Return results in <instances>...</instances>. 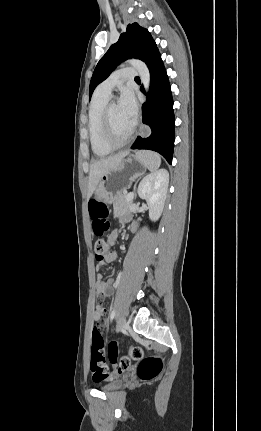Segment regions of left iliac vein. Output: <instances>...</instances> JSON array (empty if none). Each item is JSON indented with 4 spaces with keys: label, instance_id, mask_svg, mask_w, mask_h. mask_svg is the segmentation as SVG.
<instances>
[{
    "label": "left iliac vein",
    "instance_id": "obj_1",
    "mask_svg": "<svg viewBox=\"0 0 261 431\" xmlns=\"http://www.w3.org/2000/svg\"><path fill=\"white\" fill-rule=\"evenodd\" d=\"M125 325H126V317L122 315L117 322V331H120L121 329H123Z\"/></svg>",
    "mask_w": 261,
    "mask_h": 431
}]
</instances>
